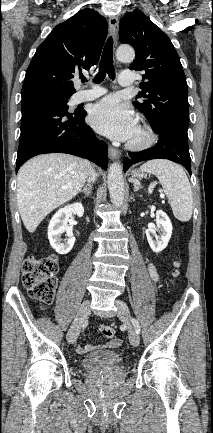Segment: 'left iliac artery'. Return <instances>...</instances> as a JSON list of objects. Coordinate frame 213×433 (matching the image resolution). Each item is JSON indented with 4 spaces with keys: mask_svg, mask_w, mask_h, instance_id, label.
<instances>
[{
    "mask_svg": "<svg viewBox=\"0 0 213 433\" xmlns=\"http://www.w3.org/2000/svg\"><path fill=\"white\" fill-rule=\"evenodd\" d=\"M131 321H132V324H133V326H134V328H135V331L139 334L140 331H141V328H140L139 322H138L135 318H132Z\"/></svg>",
    "mask_w": 213,
    "mask_h": 433,
    "instance_id": "1",
    "label": "left iliac artery"
}]
</instances>
